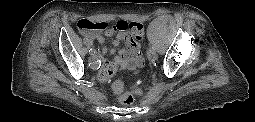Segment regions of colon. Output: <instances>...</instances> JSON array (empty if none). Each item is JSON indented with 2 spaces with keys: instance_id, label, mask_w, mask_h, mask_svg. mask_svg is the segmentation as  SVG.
I'll return each mask as SVG.
<instances>
[{
  "instance_id": "1",
  "label": "colon",
  "mask_w": 255,
  "mask_h": 122,
  "mask_svg": "<svg viewBox=\"0 0 255 122\" xmlns=\"http://www.w3.org/2000/svg\"><path fill=\"white\" fill-rule=\"evenodd\" d=\"M77 29L82 34H90L94 32H101L107 30L127 31L136 39L143 37V26L138 22H126L118 21L114 24H110L106 21H92L88 19H80L77 24ZM116 67L113 65H106L101 71V79L107 80L116 74ZM113 90L118 96V100L124 106H131L134 102V98L137 95H141L143 90L139 84V81L133 78L131 83V89L125 90L124 85L121 82H115Z\"/></svg>"
}]
</instances>
